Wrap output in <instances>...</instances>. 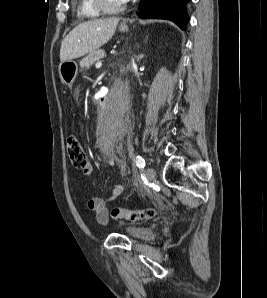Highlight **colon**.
<instances>
[{
    "mask_svg": "<svg viewBox=\"0 0 267 298\" xmlns=\"http://www.w3.org/2000/svg\"><path fill=\"white\" fill-rule=\"evenodd\" d=\"M67 154L76 168L85 169L87 166V154L77 136H70L67 140ZM156 212L153 208L141 210H129L124 208H114L111 211L113 219H125L132 222L149 220L154 218Z\"/></svg>",
    "mask_w": 267,
    "mask_h": 298,
    "instance_id": "1",
    "label": "colon"
}]
</instances>
